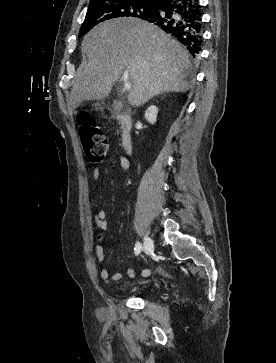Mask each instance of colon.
Returning <instances> with one entry per match:
<instances>
[{
    "label": "colon",
    "mask_w": 276,
    "mask_h": 363,
    "mask_svg": "<svg viewBox=\"0 0 276 363\" xmlns=\"http://www.w3.org/2000/svg\"><path fill=\"white\" fill-rule=\"evenodd\" d=\"M80 135L84 153L89 161L102 160L108 151V143L100 128L87 114L80 117Z\"/></svg>",
    "instance_id": "obj_1"
}]
</instances>
